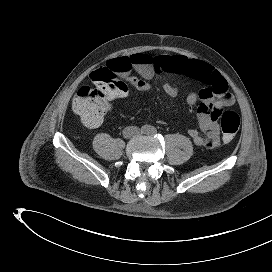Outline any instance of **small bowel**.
<instances>
[{
	"label": "small bowel",
	"mask_w": 272,
	"mask_h": 272,
	"mask_svg": "<svg viewBox=\"0 0 272 272\" xmlns=\"http://www.w3.org/2000/svg\"><path fill=\"white\" fill-rule=\"evenodd\" d=\"M108 66L116 69L124 81L139 91L151 90L150 80L155 73L172 76L163 85L164 92L169 96H176L184 86L197 87L188 91L185 100L191 107L200 103L198 122L205 136L195 128H189L187 133L197 146L213 148L219 145V113L233 105L235 100L226 79L213 66L183 56L153 58L144 53L114 58ZM132 71L139 76L133 75Z\"/></svg>",
	"instance_id": "small-bowel-1"
}]
</instances>
